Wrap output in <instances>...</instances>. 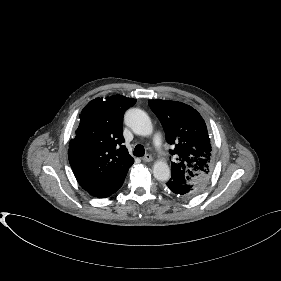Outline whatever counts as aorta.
<instances>
[{
    "instance_id": "1",
    "label": "aorta",
    "mask_w": 281,
    "mask_h": 281,
    "mask_svg": "<svg viewBox=\"0 0 281 281\" xmlns=\"http://www.w3.org/2000/svg\"><path fill=\"white\" fill-rule=\"evenodd\" d=\"M125 123L134 133L141 136H149L153 132L150 117L141 109L132 108L125 114ZM154 177L159 181H167L170 178V168L165 161H157L153 165Z\"/></svg>"
}]
</instances>
